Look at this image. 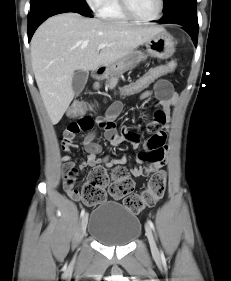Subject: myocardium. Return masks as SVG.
Masks as SVG:
<instances>
[{
    "label": "myocardium",
    "instance_id": "obj_1",
    "mask_svg": "<svg viewBox=\"0 0 231 281\" xmlns=\"http://www.w3.org/2000/svg\"><path fill=\"white\" fill-rule=\"evenodd\" d=\"M119 3H120L121 10L129 19L144 24L153 23L159 20L163 14L164 4H165L164 0H159V9L157 14L152 18L146 19V18H141L134 13V11L130 6L129 0H119Z\"/></svg>",
    "mask_w": 231,
    "mask_h": 281
}]
</instances>
